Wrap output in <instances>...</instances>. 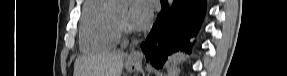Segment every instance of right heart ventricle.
Here are the masks:
<instances>
[{"label":"right heart ventricle","instance_id":"obj_1","mask_svg":"<svg viewBox=\"0 0 287 76\" xmlns=\"http://www.w3.org/2000/svg\"><path fill=\"white\" fill-rule=\"evenodd\" d=\"M109 0H87L82 9L80 48L85 52L112 49L119 41Z\"/></svg>","mask_w":287,"mask_h":76}]
</instances>
